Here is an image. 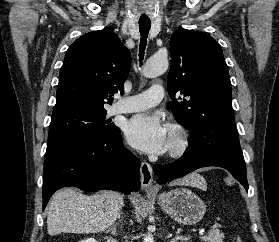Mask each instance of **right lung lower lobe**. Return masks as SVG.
Returning a JSON list of instances; mask_svg holds the SVG:
<instances>
[{
    "label": "right lung lower lobe",
    "mask_w": 279,
    "mask_h": 242,
    "mask_svg": "<svg viewBox=\"0 0 279 242\" xmlns=\"http://www.w3.org/2000/svg\"><path fill=\"white\" fill-rule=\"evenodd\" d=\"M140 162L123 146L120 130L95 141L70 143L47 151L43 171V210L60 188L110 189L129 194L140 189Z\"/></svg>",
    "instance_id": "right-lung-lower-lobe-1"
}]
</instances>
